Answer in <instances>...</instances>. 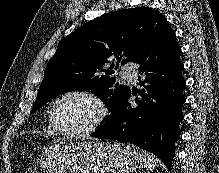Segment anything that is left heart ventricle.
<instances>
[{"mask_svg": "<svg viewBox=\"0 0 219 173\" xmlns=\"http://www.w3.org/2000/svg\"><path fill=\"white\" fill-rule=\"evenodd\" d=\"M96 112L95 105L87 98L70 96L57 105L55 116L63 130L75 131L88 125Z\"/></svg>", "mask_w": 219, "mask_h": 173, "instance_id": "b2bd125f", "label": "left heart ventricle"}]
</instances>
